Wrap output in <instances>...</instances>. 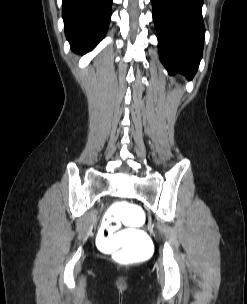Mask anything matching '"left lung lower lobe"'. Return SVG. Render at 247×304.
Instances as JSON below:
<instances>
[{"label": "left lung lower lobe", "instance_id": "1", "mask_svg": "<svg viewBox=\"0 0 247 304\" xmlns=\"http://www.w3.org/2000/svg\"><path fill=\"white\" fill-rule=\"evenodd\" d=\"M160 60L169 74L192 79L202 58L203 0H151Z\"/></svg>", "mask_w": 247, "mask_h": 304}]
</instances>
